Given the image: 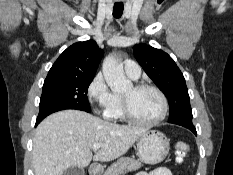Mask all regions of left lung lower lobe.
Returning a JSON list of instances; mask_svg holds the SVG:
<instances>
[{
	"label": "left lung lower lobe",
	"instance_id": "obj_1",
	"mask_svg": "<svg viewBox=\"0 0 233 175\" xmlns=\"http://www.w3.org/2000/svg\"><path fill=\"white\" fill-rule=\"evenodd\" d=\"M186 128H188L189 130H191L195 135H197L196 129L194 127V125H190V126H184Z\"/></svg>",
	"mask_w": 233,
	"mask_h": 175
}]
</instances>
